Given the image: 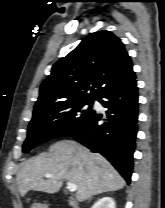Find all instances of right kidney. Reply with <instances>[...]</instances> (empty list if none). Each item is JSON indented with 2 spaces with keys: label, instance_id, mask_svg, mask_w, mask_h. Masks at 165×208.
I'll return each instance as SVG.
<instances>
[{
  "label": "right kidney",
  "instance_id": "ca27d5eb",
  "mask_svg": "<svg viewBox=\"0 0 165 208\" xmlns=\"http://www.w3.org/2000/svg\"><path fill=\"white\" fill-rule=\"evenodd\" d=\"M92 208H115V202L111 197H103Z\"/></svg>",
  "mask_w": 165,
  "mask_h": 208
}]
</instances>
